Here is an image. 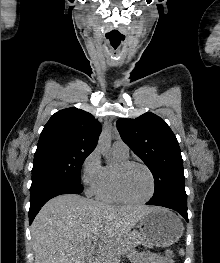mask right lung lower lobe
<instances>
[{"label":"right lung lower lobe","mask_w":220,"mask_h":263,"mask_svg":"<svg viewBox=\"0 0 220 263\" xmlns=\"http://www.w3.org/2000/svg\"><path fill=\"white\" fill-rule=\"evenodd\" d=\"M83 191L80 183L58 178H40L32 181L30 188L29 224L51 198L61 194H79Z\"/></svg>","instance_id":"right-lung-lower-lobe-1"}]
</instances>
